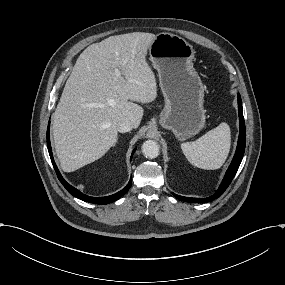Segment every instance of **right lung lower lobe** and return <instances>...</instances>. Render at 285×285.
<instances>
[{"mask_svg":"<svg viewBox=\"0 0 285 285\" xmlns=\"http://www.w3.org/2000/svg\"><path fill=\"white\" fill-rule=\"evenodd\" d=\"M49 127H50V121L48 123V129H47V146H48V151H49V155L52 161V164L54 166V169L56 171V174L58 176V179L60 180V182L63 184V186L66 188V190L73 196L77 197L78 199H81L83 201L86 202H90V203H95V204H100V205H104V204H109L111 202H114L115 200L119 199L120 197H122L130 188L131 183H132V178L130 179L129 183L127 184V186L122 189L121 191L110 195V196H106V197H90L87 196L83 193H81L79 190H77L76 188H74L73 186H71L70 184H68L63 177L61 176L55 162L53 159V155H52V149H51V144H50V136H49ZM136 149L133 150L132 155H131V159L132 156L134 154Z\"/></svg>","mask_w":285,"mask_h":285,"instance_id":"1","label":"right lung lower lobe"}]
</instances>
